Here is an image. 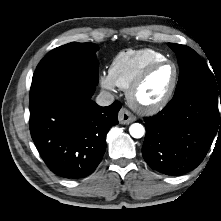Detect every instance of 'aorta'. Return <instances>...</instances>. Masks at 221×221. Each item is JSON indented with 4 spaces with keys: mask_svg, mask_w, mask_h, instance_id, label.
I'll list each match as a JSON object with an SVG mask.
<instances>
[{
    "mask_svg": "<svg viewBox=\"0 0 221 221\" xmlns=\"http://www.w3.org/2000/svg\"><path fill=\"white\" fill-rule=\"evenodd\" d=\"M129 132L133 138H141L145 134V129L143 125L134 123L129 127Z\"/></svg>",
    "mask_w": 221,
    "mask_h": 221,
    "instance_id": "1",
    "label": "aorta"
}]
</instances>
